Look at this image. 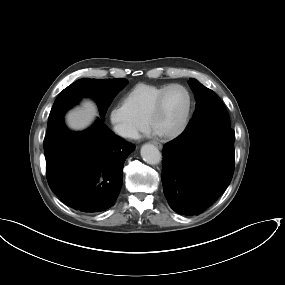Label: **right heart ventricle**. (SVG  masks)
Segmentation results:
<instances>
[{
	"label": "right heart ventricle",
	"mask_w": 285,
	"mask_h": 285,
	"mask_svg": "<svg viewBox=\"0 0 285 285\" xmlns=\"http://www.w3.org/2000/svg\"><path fill=\"white\" fill-rule=\"evenodd\" d=\"M166 86V84L152 85L139 83L125 94L123 103L129 108L133 116L144 120L159 93Z\"/></svg>",
	"instance_id": "e07e8e85"
}]
</instances>
